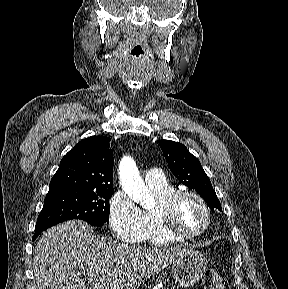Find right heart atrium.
I'll return each instance as SVG.
<instances>
[{
	"label": "right heart atrium",
	"mask_w": 288,
	"mask_h": 289,
	"mask_svg": "<svg viewBox=\"0 0 288 289\" xmlns=\"http://www.w3.org/2000/svg\"><path fill=\"white\" fill-rule=\"evenodd\" d=\"M108 217L115 237L126 243H140L146 229L143 211L124 191H117L109 200Z\"/></svg>",
	"instance_id": "d8ad5b80"
}]
</instances>
